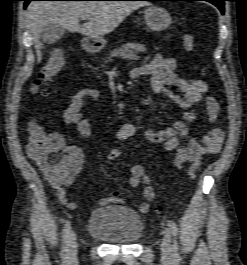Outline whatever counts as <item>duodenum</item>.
<instances>
[{"label": "duodenum", "mask_w": 247, "mask_h": 265, "mask_svg": "<svg viewBox=\"0 0 247 265\" xmlns=\"http://www.w3.org/2000/svg\"><path fill=\"white\" fill-rule=\"evenodd\" d=\"M83 49L87 52V53H93L96 51V46L93 42L91 41H86L83 44Z\"/></svg>", "instance_id": "410a0bca"}]
</instances>
